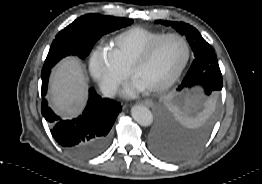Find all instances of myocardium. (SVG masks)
I'll use <instances>...</instances> for the list:
<instances>
[{
    "label": "myocardium",
    "mask_w": 262,
    "mask_h": 184,
    "mask_svg": "<svg viewBox=\"0 0 262 184\" xmlns=\"http://www.w3.org/2000/svg\"><path fill=\"white\" fill-rule=\"evenodd\" d=\"M170 37L178 38L184 43L185 49H186L185 58H184L182 64L180 65V67L178 68V70L172 75V77L170 79H168L165 83H163L159 86L146 88L149 92L166 91L167 89L172 87L177 82V80L180 78V76L182 75L186 66L188 65V62H189L190 56H191V48H190V45H189V42L187 41V39L179 33H165V34L159 36L154 41H152L149 45H147L145 47V49L139 54V56L133 61V63L130 66L129 73H130L131 77L135 78L137 70L140 67H142L143 65H145L150 60L151 56L153 55V53L156 50V48L158 47V45L163 40L170 38Z\"/></svg>",
    "instance_id": "myocardium-1"
}]
</instances>
